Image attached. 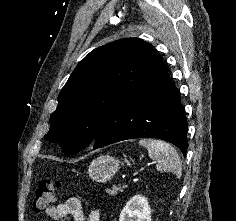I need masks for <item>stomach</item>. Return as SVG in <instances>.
I'll use <instances>...</instances> for the list:
<instances>
[{
    "label": "stomach",
    "mask_w": 236,
    "mask_h": 221,
    "mask_svg": "<svg viewBox=\"0 0 236 221\" xmlns=\"http://www.w3.org/2000/svg\"><path fill=\"white\" fill-rule=\"evenodd\" d=\"M124 162L130 165L128 160ZM119 169L120 161L118 159L109 155H102L91 162L88 173L93 181L103 183L110 180Z\"/></svg>",
    "instance_id": "1"
}]
</instances>
